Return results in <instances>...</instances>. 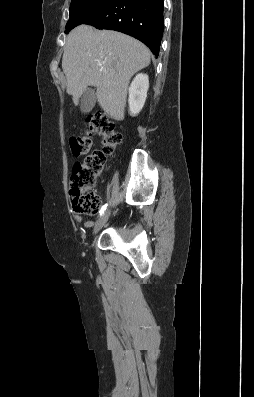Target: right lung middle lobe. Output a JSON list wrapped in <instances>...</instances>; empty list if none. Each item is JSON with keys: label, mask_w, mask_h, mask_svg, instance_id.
<instances>
[{"label": "right lung middle lobe", "mask_w": 254, "mask_h": 397, "mask_svg": "<svg viewBox=\"0 0 254 397\" xmlns=\"http://www.w3.org/2000/svg\"><path fill=\"white\" fill-rule=\"evenodd\" d=\"M110 0H72L65 33L98 14Z\"/></svg>", "instance_id": "right-lung-middle-lobe-1"}]
</instances>
